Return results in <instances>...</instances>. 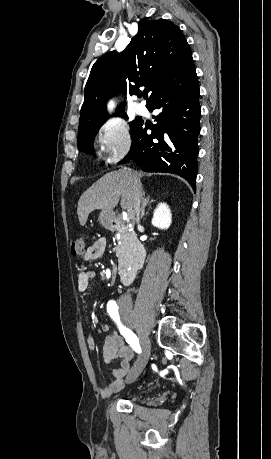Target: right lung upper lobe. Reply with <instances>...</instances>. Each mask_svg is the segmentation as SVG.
<instances>
[{
	"instance_id": "cb5924a9",
	"label": "right lung upper lobe",
	"mask_w": 271,
	"mask_h": 459,
	"mask_svg": "<svg viewBox=\"0 0 271 459\" xmlns=\"http://www.w3.org/2000/svg\"><path fill=\"white\" fill-rule=\"evenodd\" d=\"M193 71L192 52L179 27L165 19L143 20L122 53H106L92 66L80 122L106 117V101L119 92L139 95V87H145L143 92L152 96Z\"/></svg>"
}]
</instances>
